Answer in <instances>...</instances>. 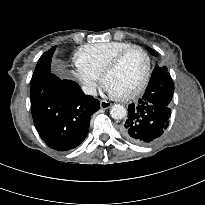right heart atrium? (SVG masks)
Masks as SVG:
<instances>
[{
    "label": "right heart atrium",
    "instance_id": "right-heart-atrium-1",
    "mask_svg": "<svg viewBox=\"0 0 205 205\" xmlns=\"http://www.w3.org/2000/svg\"><path fill=\"white\" fill-rule=\"evenodd\" d=\"M73 75L87 93L93 94L95 92L99 82V77L97 75L79 65L77 62Z\"/></svg>",
    "mask_w": 205,
    "mask_h": 205
}]
</instances>
